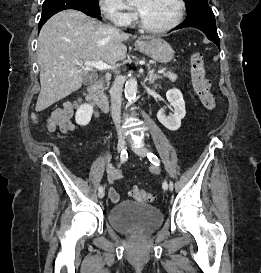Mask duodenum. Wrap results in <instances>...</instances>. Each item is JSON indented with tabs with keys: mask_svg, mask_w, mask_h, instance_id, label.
Masks as SVG:
<instances>
[{
	"mask_svg": "<svg viewBox=\"0 0 261 273\" xmlns=\"http://www.w3.org/2000/svg\"><path fill=\"white\" fill-rule=\"evenodd\" d=\"M85 96L93 105L102 111L108 110L109 101L103 94L101 81H96L90 84L86 90Z\"/></svg>",
	"mask_w": 261,
	"mask_h": 273,
	"instance_id": "410a0bca",
	"label": "duodenum"
}]
</instances>
